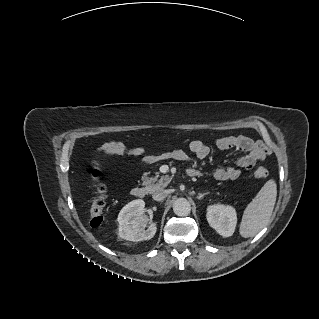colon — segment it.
I'll return each instance as SVG.
<instances>
[{
  "mask_svg": "<svg viewBox=\"0 0 319 319\" xmlns=\"http://www.w3.org/2000/svg\"><path fill=\"white\" fill-rule=\"evenodd\" d=\"M269 172L264 167H258L254 171V175L258 178H266ZM91 175L93 178L97 179L100 177L101 173L98 169L92 170ZM104 209L105 201L103 198L95 200L89 208V223L92 227H98L101 225L104 219Z\"/></svg>",
  "mask_w": 319,
  "mask_h": 319,
  "instance_id": "1",
  "label": "colon"
}]
</instances>
